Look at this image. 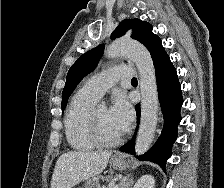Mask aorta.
Segmentation results:
<instances>
[{
  "instance_id": "obj_1",
  "label": "aorta",
  "mask_w": 224,
  "mask_h": 188,
  "mask_svg": "<svg viewBox=\"0 0 224 188\" xmlns=\"http://www.w3.org/2000/svg\"><path fill=\"white\" fill-rule=\"evenodd\" d=\"M105 56L128 57L137 67L141 90V122L135 144L136 155L144 154L150 147L156 130L158 115V92L153 60L141 43L131 39H117L111 43Z\"/></svg>"
}]
</instances>
